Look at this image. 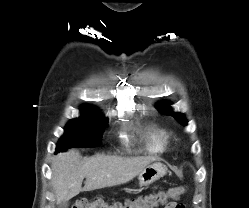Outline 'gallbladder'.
<instances>
[{
	"label": "gallbladder",
	"mask_w": 249,
	"mask_h": 208,
	"mask_svg": "<svg viewBox=\"0 0 249 208\" xmlns=\"http://www.w3.org/2000/svg\"><path fill=\"white\" fill-rule=\"evenodd\" d=\"M58 208H68V202L62 201L61 203L58 204Z\"/></svg>",
	"instance_id": "1"
}]
</instances>
